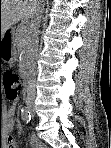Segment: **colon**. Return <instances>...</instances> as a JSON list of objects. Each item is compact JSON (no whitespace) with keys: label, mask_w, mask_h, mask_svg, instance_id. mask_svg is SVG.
Listing matches in <instances>:
<instances>
[{"label":"colon","mask_w":111,"mask_h":148,"mask_svg":"<svg viewBox=\"0 0 111 148\" xmlns=\"http://www.w3.org/2000/svg\"><path fill=\"white\" fill-rule=\"evenodd\" d=\"M0 80L5 88V94L8 100H16L19 96L20 85L18 76L9 70L0 73Z\"/></svg>","instance_id":"1"}]
</instances>
